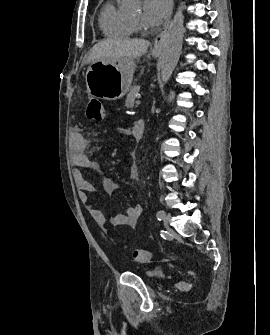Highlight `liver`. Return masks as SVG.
<instances>
[{
	"label": "liver",
	"instance_id": "obj_1",
	"mask_svg": "<svg viewBox=\"0 0 270 335\" xmlns=\"http://www.w3.org/2000/svg\"><path fill=\"white\" fill-rule=\"evenodd\" d=\"M150 42L147 40H102L93 46L87 62L117 60V58H138L146 54Z\"/></svg>",
	"mask_w": 270,
	"mask_h": 335
}]
</instances>
